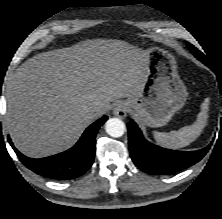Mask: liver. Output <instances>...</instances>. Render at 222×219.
Listing matches in <instances>:
<instances>
[{
  "label": "liver",
  "mask_w": 222,
  "mask_h": 219,
  "mask_svg": "<svg viewBox=\"0 0 222 219\" xmlns=\"http://www.w3.org/2000/svg\"><path fill=\"white\" fill-rule=\"evenodd\" d=\"M146 51L121 40L94 39L43 52L7 82V125L20 152L41 158L73 146L110 102L138 95Z\"/></svg>",
  "instance_id": "liver-1"
}]
</instances>
